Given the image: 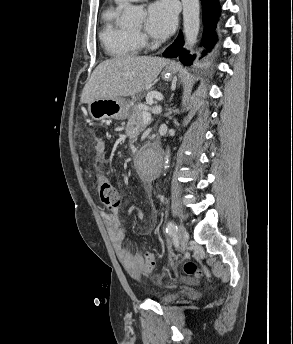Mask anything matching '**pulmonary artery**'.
I'll return each instance as SVG.
<instances>
[{
    "label": "pulmonary artery",
    "mask_w": 293,
    "mask_h": 344,
    "mask_svg": "<svg viewBox=\"0 0 293 344\" xmlns=\"http://www.w3.org/2000/svg\"><path fill=\"white\" fill-rule=\"evenodd\" d=\"M127 1H141V0H115V2L120 3V4L125 3Z\"/></svg>",
    "instance_id": "1"
}]
</instances>
